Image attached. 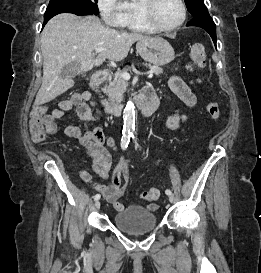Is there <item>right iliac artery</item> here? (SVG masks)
<instances>
[{"label": "right iliac artery", "instance_id": "right-iliac-artery-1", "mask_svg": "<svg viewBox=\"0 0 261 273\" xmlns=\"http://www.w3.org/2000/svg\"><path fill=\"white\" fill-rule=\"evenodd\" d=\"M122 139H121V148L123 150H125L127 147H128V144L130 142V137H131V133H130V130L129 129H123L122 131ZM100 199V194H96L94 196V200H99Z\"/></svg>", "mask_w": 261, "mask_h": 273}]
</instances>
